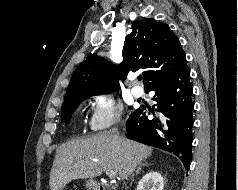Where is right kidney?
Returning <instances> with one entry per match:
<instances>
[{
  "label": "right kidney",
  "mask_w": 238,
  "mask_h": 190,
  "mask_svg": "<svg viewBox=\"0 0 238 190\" xmlns=\"http://www.w3.org/2000/svg\"><path fill=\"white\" fill-rule=\"evenodd\" d=\"M164 180L160 173L151 171L144 175L137 185V190H163Z\"/></svg>",
  "instance_id": "ca27d5eb"
}]
</instances>
